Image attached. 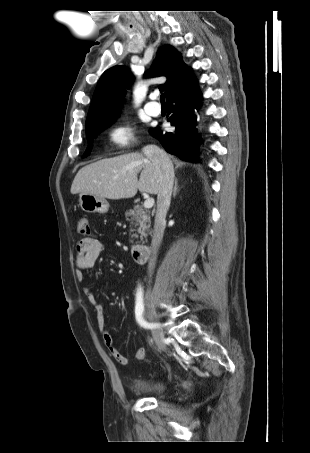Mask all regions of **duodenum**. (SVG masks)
Returning <instances> with one entry per match:
<instances>
[{
    "instance_id": "410a0bca",
    "label": "duodenum",
    "mask_w": 310,
    "mask_h": 453,
    "mask_svg": "<svg viewBox=\"0 0 310 453\" xmlns=\"http://www.w3.org/2000/svg\"><path fill=\"white\" fill-rule=\"evenodd\" d=\"M132 255L137 263H146L150 256V247L145 244L134 245Z\"/></svg>"
}]
</instances>
